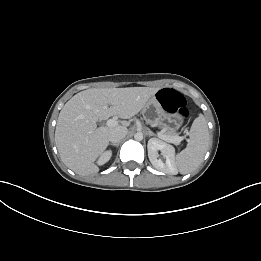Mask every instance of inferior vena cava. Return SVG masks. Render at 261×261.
I'll use <instances>...</instances> for the list:
<instances>
[{
	"label": "inferior vena cava",
	"instance_id": "obj_1",
	"mask_svg": "<svg viewBox=\"0 0 261 261\" xmlns=\"http://www.w3.org/2000/svg\"><path fill=\"white\" fill-rule=\"evenodd\" d=\"M128 133L126 127H116L109 133V141L113 144L119 143Z\"/></svg>",
	"mask_w": 261,
	"mask_h": 261
}]
</instances>
